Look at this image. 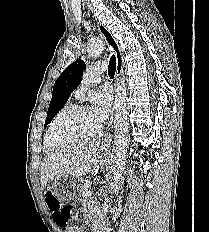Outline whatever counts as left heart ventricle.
<instances>
[{"mask_svg":"<svg viewBox=\"0 0 209 232\" xmlns=\"http://www.w3.org/2000/svg\"><path fill=\"white\" fill-rule=\"evenodd\" d=\"M100 125L90 109L72 115L57 124L54 136L60 140L82 137L95 132Z\"/></svg>","mask_w":209,"mask_h":232,"instance_id":"obj_1","label":"left heart ventricle"}]
</instances>
